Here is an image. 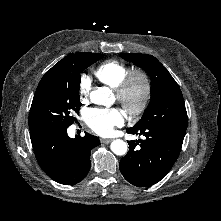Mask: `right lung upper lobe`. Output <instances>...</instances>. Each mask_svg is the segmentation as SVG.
I'll list each match as a JSON object with an SVG mask.
<instances>
[{
  "instance_id": "1",
  "label": "right lung upper lobe",
  "mask_w": 221,
  "mask_h": 221,
  "mask_svg": "<svg viewBox=\"0 0 221 221\" xmlns=\"http://www.w3.org/2000/svg\"><path fill=\"white\" fill-rule=\"evenodd\" d=\"M79 53V52H78ZM78 53H71L69 55H67L65 58H63L61 61H59L58 63H56L53 67H57L58 65H60L61 63H63L65 60L69 59V58H74Z\"/></svg>"
}]
</instances>
